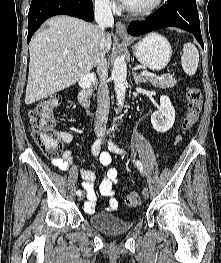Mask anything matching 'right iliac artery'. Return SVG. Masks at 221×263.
<instances>
[{"label": "right iliac artery", "instance_id": "1", "mask_svg": "<svg viewBox=\"0 0 221 263\" xmlns=\"http://www.w3.org/2000/svg\"><path fill=\"white\" fill-rule=\"evenodd\" d=\"M100 144H101V139H98L94 142L93 146H92V153L94 156H98L99 151H100ZM77 195H81L82 191L81 190H77L76 192Z\"/></svg>", "mask_w": 221, "mask_h": 263}]
</instances>
